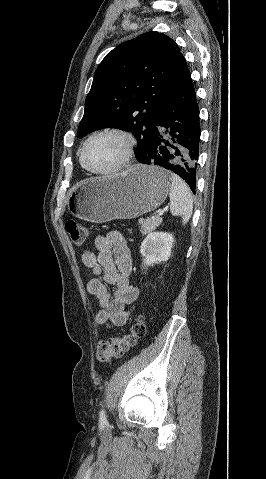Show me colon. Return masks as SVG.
Returning a JSON list of instances; mask_svg holds the SVG:
<instances>
[{
    "label": "colon",
    "instance_id": "colon-1",
    "mask_svg": "<svg viewBox=\"0 0 266 479\" xmlns=\"http://www.w3.org/2000/svg\"><path fill=\"white\" fill-rule=\"evenodd\" d=\"M65 228L75 246H83L90 238V229L76 219L66 222ZM145 334L144 320L136 318L127 330L118 337L101 340L97 345L96 356L102 363H109L122 358L126 352L135 346L137 340Z\"/></svg>",
    "mask_w": 266,
    "mask_h": 479
}]
</instances>
